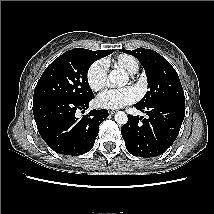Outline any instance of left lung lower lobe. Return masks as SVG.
Wrapping results in <instances>:
<instances>
[{
	"instance_id": "left-lung-lower-lobe-1",
	"label": "left lung lower lobe",
	"mask_w": 214,
	"mask_h": 214,
	"mask_svg": "<svg viewBox=\"0 0 214 214\" xmlns=\"http://www.w3.org/2000/svg\"><path fill=\"white\" fill-rule=\"evenodd\" d=\"M134 107L147 113L149 118L130 115L121 127L127 150L143 158L163 154L179 134L185 116V100L166 99Z\"/></svg>"
}]
</instances>
